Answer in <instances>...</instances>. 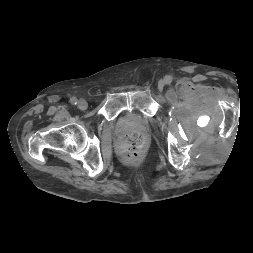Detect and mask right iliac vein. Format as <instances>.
<instances>
[{
  "label": "right iliac vein",
  "instance_id": "1",
  "mask_svg": "<svg viewBox=\"0 0 253 253\" xmlns=\"http://www.w3.org/2000/svg\"><path fill=\"white\" fill-rule=\"evenodd\" d=\"M78 107H79L80 110H86L87 107H88L87 101L84 100V99H80V100L78 101Z\"/></svg>",
  "mask_w": 253,
  "mask_h": 253
}]
</instances>
